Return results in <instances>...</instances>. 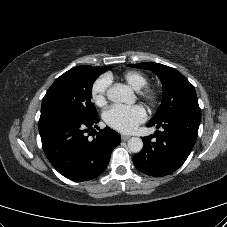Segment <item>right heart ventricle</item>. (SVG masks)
I'll list each match as a JSON object with an SVG mask.
<instances>
[{
  "instance_id": "right-heart-ventricle-1",
  "label": "right heart ventricle",
  "mask_w": 227,
  "mask_h": 227,
  "mask_svg": "<svg viewBox=\"0 0 227 227\" xmlns=\"http://www.w3.org/2000/svg\"><path fill=\"white\" fill-rule=\"evenodd\" d=\"M122 77L135 90L144 88L148 82L147 77L143 73L135 70L126 71Z\"/></svg>"
}]
</instances>
